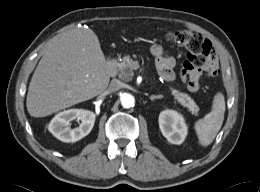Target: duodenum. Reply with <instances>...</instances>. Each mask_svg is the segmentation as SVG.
<instances>
[{"mask_svg":"<svg viewBox=\"0 0 260 192\" xmlns=\"http://www.w3.org/2000/svg\"><path fill=\"white\" fill-rule=\"evenodd\" d=\"M107 71L110 75H114L116 71V60L109 59L107 63Z\"/></svg>","mask_w":260,"mask_h":192,"instance_id":"1","label":"duodenum"}]
</instances>
